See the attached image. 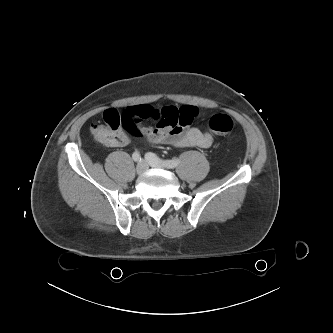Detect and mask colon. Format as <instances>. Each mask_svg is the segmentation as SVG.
<instances>
[{
  "instance_id": "1",
  "label": "colon",
  "mask_w": 333,
  "mask_h": 333,
  "mask_svg": "<svg viewBox=\"0 0 333 333\" xmlns=\"http://www.w3.org/2000/svg\"><path fill=\"white\" fill-rule=\"evenodd\" d=\"M208 126L215 134L227 135L232 132L234 123L226 114H215L209 119ZM121 129L132 132L134 130L132 119L115 109H109L103 114V122L93 124L90 131L95 140L106 146H111Z\"/></svg>"
}]
</instances>
